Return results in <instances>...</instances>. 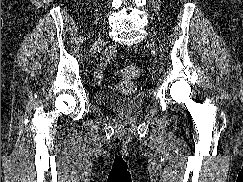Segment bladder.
Listing matches in <instances>:
<instances>
[{"instance_id":"bladder-1","label":"bladder","mask_w":243,"mask_h":182,"mask_svg":"<svg viewBox=\"0 0 243 182\" xmlns=\"http://www.w3.org/2000/svg\"><path fill=\"white\" fill-rule=\"evenodd\" d=\"M97 104L123 114H134L143 107V100L135 95L98 92L95 95Z\"/></svg>"}]
</instances>
